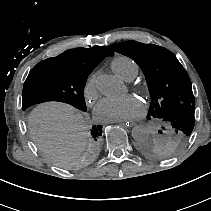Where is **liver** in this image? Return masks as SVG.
<instances>
[{"mask_svg": "<svg viewBox=\"0 0 211 211\" xmlns=\"http://www.w3.org/2000/svg\"><path fill=\"white\" fill-rule=\"evenodd\" d=\"M28 123L38 148L63 163L75 159L86 144L83 115L69 105L41 104L32 111Z\"/></svg>", "mask_w": 211, "mask_h": 211, "instance_id": "obj_1", "label": "liver"}]
</instances>
